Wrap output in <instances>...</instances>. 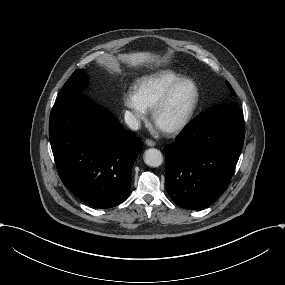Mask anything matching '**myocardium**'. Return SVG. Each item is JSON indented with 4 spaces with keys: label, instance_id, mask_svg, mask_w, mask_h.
Segmentation results:
<instances>
[{
    "label": "myocardium",
    "instance_id": "obj_1",
    "mask_svg": "<svg viewBox=\"0 0 285 285\" xmlns=\"http://www.w3.org/2000/svg\"><path fill=\"white\" fill-rule=\"evenodd\" d=\"M186 83H192L195 86L196 95H195L194 102H193L192 106L190 107L188 113L184 116V118L181 121H179L178 123H176L175 125H173L169 128L164 129L167 133H171V134L178 133V132L182 131L183 129H185L190 124V122L192 121V119H193V117H194V115H195V113H196V111L200 105V101H201V89H200L199 84L193 78H190V77L182 78L181 80L176 82L174 85H172L166 91V93L162 96L160 101L153 108V112H152L153 120H154V122L157 123V117H158L159 113L169 104L174 93L182 85H184Z\"/></svg>",
    "mask_w": 285,
    "mask_h": 285
}]
</instances>
